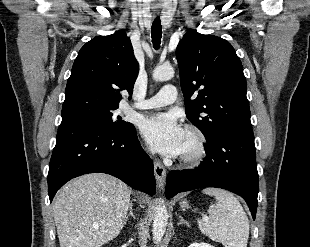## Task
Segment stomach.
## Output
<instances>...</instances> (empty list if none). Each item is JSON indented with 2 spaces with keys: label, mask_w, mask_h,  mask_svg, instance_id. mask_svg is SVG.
<instances>
[{
  "label": "stomach",
  "mask_w": 310,
  "mask_h": 247,
  "mask_svg": "<svg viewBox=\"0 0 310 247\" xmlns=\"http://www.w3.org/2000/svg\"><path fill=\"white\" fill-rule=\"evenodd\" d=\"M180 205H181L182 207H186V206H187V202H186L185 200H182V201L180 202Z\"/></svg>",
  "instance_id": "1"
}]
</instances>
